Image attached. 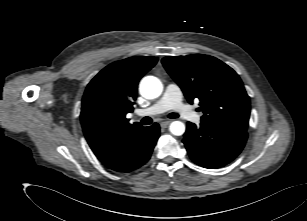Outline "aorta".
Segmentation results:
<instances>
[{
    "label": "aorta",
    "mask_w": 307,
    "mask_h": 221,
    "mask_svg": "<svg viewBox=\"0 0 307 221\" xmlns=\"http://www.w3.org/2000/svg\"><path fill=\"white\" fill-rule=\"evenodd\" d=\"M162 90L163 85L161 81L154 76H146L140 82V94L147 99L159 97ZM169 130L173 135L180 136L185 132V125L181 121H174L170 124Z\"/></svg>",
    "instance_id": "obj_1"
}]
</instances>
